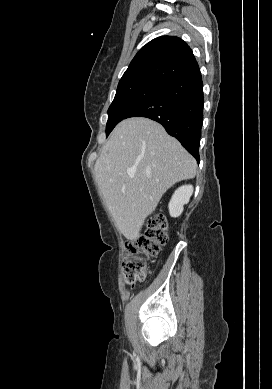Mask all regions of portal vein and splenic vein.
<instances>
[{"label": "portal vein and splenic vein", "mask_w": 272, "mask_h": 389, "mask_svg": "<svg viewBox=\"0 0 272 389\" xmlns=\"http://www.w3.org/2000/svg\"><path fill=\"white\" fill-rule=\"evenodd\" d=\"M129 176H134L133 172H128Z\"/></svg>", "instance_id": "18ae733b"}]
</instances>
